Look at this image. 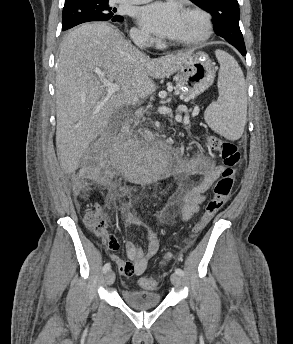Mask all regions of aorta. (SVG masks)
Listing matches in <instances>:
<instances>
[{"mask_svg":"<svg viewBox=\"0 0 293 344\" xmlns=\"http://www.w3.org/2000/svg\"><path fill=\"white\" fill-rule=\"evenodd\" d=\"M165 161V155L161 154L159 155L158 159L154 162V165L162 167Z\"/></svg>","mask_w":293,"mask_h":344,"instance_id":"obj_1","label":"aorta"}]
</instances>
